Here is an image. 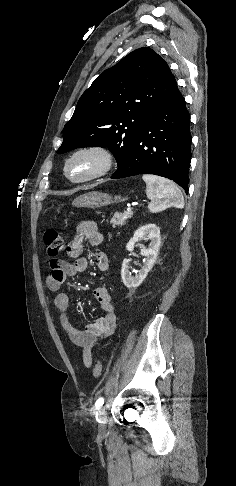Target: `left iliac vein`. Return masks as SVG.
I'll return each instance as SVG.
<instances>
[{"label":"left iliac vein","instance_id":"obj_1","mask_svg":"<svg viewBox=\"0 0 236 486\" xmlns=\"http://www.w3.org/2000/svg\"><path fill=\"white\" fill-rule=\"evenodd\" d=\"M97 414H98V422H99V425H98L99 432L100 433H105V431H106V422H107L106 408L105 407H101L98 410V413Z\"/></svg>","mask_w":236,"mask_h":486}]
</instances>
